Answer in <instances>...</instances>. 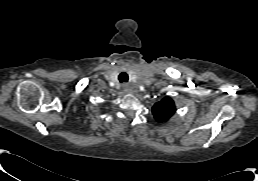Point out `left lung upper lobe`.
Instances as JSON below:
<instances>
[{
	"instance_id": "obj_1",
	"label": "left lung upper lobe",
	"mask_w": 258,
	"mask_h": 181,
	"mask_svg": "<svg viewBox=\"0 0 258 181\" xmlns=\"http://www.w3.org/2000/svg\"><path fill=\"white\" fill-rule=\"evenodd\" d=\"M152 113L158 122H165L175 113V104L171 98L165 97L153 106Z\"/></svg>"
}]
</instances>
